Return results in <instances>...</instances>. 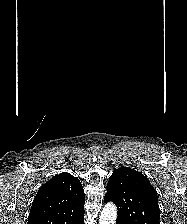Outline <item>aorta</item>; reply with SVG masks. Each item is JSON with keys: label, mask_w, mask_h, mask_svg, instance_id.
<instances>
[{"label": "aorta", "mask_w": 187, "mask_h": 224, "mask_svg": "<svg viewBox=\"0 0 187 224\" xmlns=\"http://www.w3.org/2000/svg\"><path fill=\"white\" fill-rule=\"evenodd\" d=\"M117 209L113 203H107L101 214L99 224H116Z\"/></svg>", "instance_id": "1"}]
</instances>
